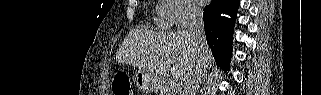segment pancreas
<instances>
[{
	"label": "pancreas",
	"instance_id": "obj_1",
	"mask_svg": "<svg viewBox=\"0 0 321 95\" xmlns=\"http://www.w3.org/2000/svg\"><path fill=\"white\" fill-rule=\"evenodd\" d=\"M162 95H175L176 90L174 87H171L169 84H164L161 88Z\"/></svg>",
	"mask_w": 321,
	"mask_h": 95
}]
</instances>
